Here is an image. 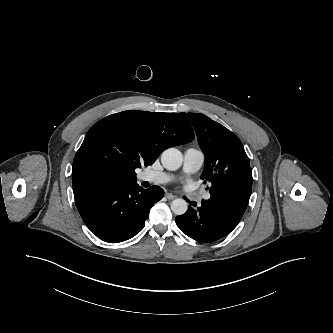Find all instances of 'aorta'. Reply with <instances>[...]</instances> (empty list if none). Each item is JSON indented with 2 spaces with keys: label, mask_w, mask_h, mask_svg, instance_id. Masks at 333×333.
<instances>
[{
  "label": "aorta",
  "mask_w": 333,
  "mask_h": 333,
  "mask_svg": "<svg viewBox=\"0 0 333 333\" xmlns=\"http://www.w3.org/2000/svg\"><path fill=\"white\" fill-rule=\"evenodd\" d=\"M183 161L182 153L176 148H168L161 154V163L167 170L174 171L181 167ZM188 209L187 202L182 198L174 199L171 210L176 215H183Z\"/></svg>",
  "instance_id": "obj_1"
}]
</instances>
